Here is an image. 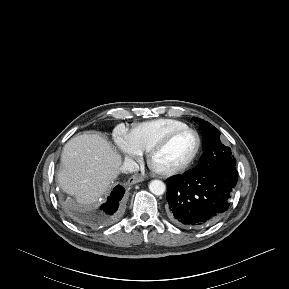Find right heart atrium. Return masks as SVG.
<instances>
[{"label":"right heart atrium","instance_id":"right-heart-atrium-1","mask_svg":"<svg viewBox=\"0 0 289 289\" xmlns=\"http://www.w3.org/2000/svg\"><path fill=\"white\" fill-rule=\"evenodd\" d=\"M116 143L127 159L137 160L142 155V153L133 144L130 134H119L116 138Z\"/></svg>","mask_w":289,"mask_h":289}]
</instances>
